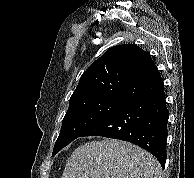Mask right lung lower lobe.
<instances>
[{
	"mask_svg": "<svg viewBox=\"0 0 194 178\" xmlns=\"http://www.w3.org/2000/svg\"><path fill=\"white\" fill-rule=\"evenodd\" d=\"M168 117L161 87L124 102L80 137L97 135L131 142L153 154L164 167Z\"/></svg>",
	"mask_w": 194,
	"mask_h": 178,
	"instance_id": "right-lung-lower-lobe-1",
	"label": "right lung lower lobe"
}]
</instances>
